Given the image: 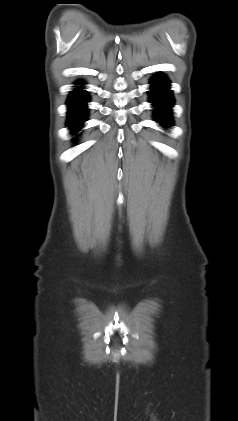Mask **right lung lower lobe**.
I'll list each match as a JSON object with an SVG mask.
<instances>
[{"label":"right lung lower lobe","mask_w":238,"mask_h":421,"mask_svg":"<svg viewBox=\"0 0 238 421\" xmlns=\"http://www.w3.org/2000/svg\"><path fill=\"white\" fill-rule=\"evenodd\" d=\"M88 101V96L82 90H75L72 92L67 104L69 106L68 126L78 129L79 126L86 119L87 111L85 104Z\"/></svg>","instance_id":"obj_1"}]
</instances>
